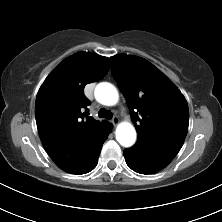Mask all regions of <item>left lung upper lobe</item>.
<instances>
[{
  "label": "left lung upper lobe",
  "instance_id": "5c2ea615",
  "mask_svg": "<svg viewBox=\"0 0 222 222\" xmlns=\"http://www.w3.org/2000/svg\"><path fill=\"white\" fill-rule=\"evenodd\" d=\"M138 133L131 155L159 168L177 155L188 131V104L177 87L147 60L125 54L110 58Z\"/></svg>",
  "mask_w": 222,
  "mask_h": 222
}]
</instances>
